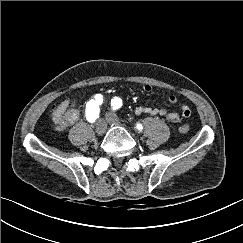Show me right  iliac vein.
Returning <instances> with one entry per match:
<instances>
[{"mask_svg": "<svg viewBox=\"0 0 243 243\" xmlns=\"http://www.w3.org/2000/svg\"><path fill=\"white\" fill-rule=\"evenodd\" d=\"M96 133L98 135H103L106 130H107V124L106 121L104 119H99L97 124H96Z\"/></svg>", "mask_w": 243, "mask_h": 243, "instance_id": "63e3f726", "label": "right iliac vein"}]
</instances>
